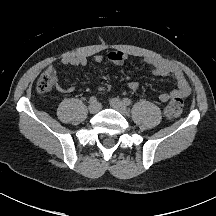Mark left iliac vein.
Segmentation results:
<instances>
[{"label": "left iliac vein", "instance_id": "obj_1", "mask_svg": "<svg viewBox=\"0 0 216 216\" xmlns=\"http://www.w3.org/2000/svg\"><path fill=\"white\" fill-rule=\"evenodd\" d=\"M110 105L112 108H114L115 110H117L118 112H120L123 115H126L128 113V109L126 107V105L119 99L117 98H112L110 100Z\"/></svg>", "mask_w": 216, "mask_h": 216}]
</instances>
